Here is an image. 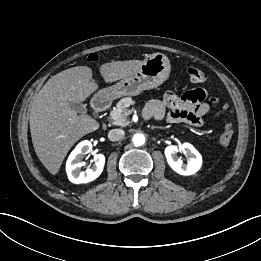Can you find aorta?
Masks as SVG:
<instances>
[{
  "label": "aorta",
  "instance_id": "762f6f07",
  "mask_svg": "<svg viewBox=\"0 0 261 261\" xmlns=\"http://www.w3.org/2000/svg\"><path fill=\"white\" fill-rule=\"evenodd\" d=\"M132 141L135 145L141 146L145 143V136L141 133H137L133 136Z\"/></svg>",
  "mask_w": 261,
  "mask_h": 261
}]
</instances>
